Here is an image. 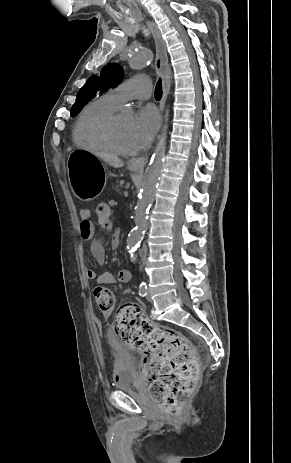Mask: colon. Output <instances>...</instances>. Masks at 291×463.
Returning <instances> with one entry per match:
<instances>
[{"mask_svg":"<svg viewBox=\"0 0 291 463\" xmlns=\"http://www.w3.org/2000/svg\"><path fill=\"white\" fill-rule=\"evenodd\" d=\"M111 216V202L93 205L98 226H111ZM94 300L101 311H113L115 299L108 288L97 287ZM115 332L126 345L143 353L141 372L154 400L169 414L178 416L198 378L197 360L187 339L176 330L155 326L129 305L116 312Z\"/></svg>","mask_w":291,"mask_h":463,"instance_id":"1","label":"colon"}]
</instances>
